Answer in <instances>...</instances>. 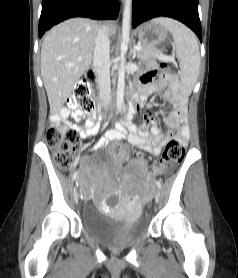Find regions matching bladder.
<instances>
[{
	"label": "bladder",
	"instance_id": "bladder-1",
	"mask_svg": "<svg viewBox=\"0 0 238 278\" xmlns=\"http://www.w3.org/2000/svg\"><path fill=\"white\" fill-rule=\"evenodd\" d=\"M84 231L99 243L117 247L131 243L147 230L145 214L136 219L114 218L101 212L95 205L87 204L82 211Z\"/></svg>",
	"mask_w": 238,
	"mask_h": 278
}]
</instances>
